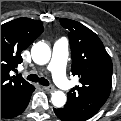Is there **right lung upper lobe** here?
<instances>
[{"instance_id":"right-lung-upper-lobe-1","label":"right lung upper lobe","mask_w":121,"mask_h":121,"mask_svg":"<svg viewBox=\"0 0 121 121\" xmlns=\"http://www.w3.org/2000/svg\"><path fill=\"white\" fill-rule=\"evenodd\" d=\"M42 21L18 18L1 25V108L25 94L31 84L10 72L22 62L21 52L42 32Z\"/></svg>"}]
</instances>
